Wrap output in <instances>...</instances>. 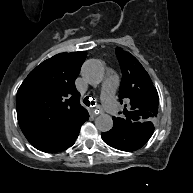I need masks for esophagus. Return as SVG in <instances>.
<instances>
[{
	"instance_id": "1",
	"label": "esophagus",
	"mask_w": 193,
	"mask_h": 193,
	"mask_svg": "<svg viewBox=\"0 0 193 193\" xmlns=\"http://www.w3.org/2000/svg\"><path fill=\"white\" fill-rule=\"evenodd\" d=\"M93 112L95 115H99L100 113H102V108L100 106H98L94 109Z\"/></svg>"
}]
</instances>
